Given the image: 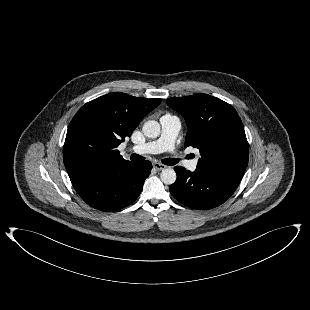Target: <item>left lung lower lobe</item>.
Masks as SVG:
<instances>
[{"mask_svg": "<svg viewBox=\"0 0 310 310\" xmlns=\"http://www.w3.org/2000/svg\"><path fill=\"white\" fill-rule=\"evenodd\" d=\"M177 179L170 185L172 196L184 205L207 210L224 203L237 189L240 180L206 170L174 168Z\"/></svg>", "mask_w": 310, "mask_h": 310, "instance_id": "obj_1", "label": "left lung lower lobe"}]
</instances>
